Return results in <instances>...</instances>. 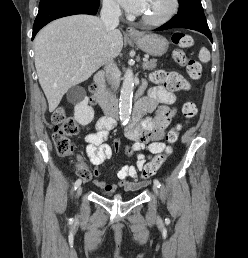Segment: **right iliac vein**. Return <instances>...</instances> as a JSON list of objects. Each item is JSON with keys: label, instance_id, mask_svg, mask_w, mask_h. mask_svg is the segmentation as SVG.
<instances>
[{"label": "right iliac vein", "instance_id": "63e3f726", "mask_svg": "<svg viewBox=\"0 0 248 258\" xmlns=\"http://www.w3.org/2000/svg\"><path fill=\"white\" fill-rule=\"evenodd\" d=\"M82 194V187L81 186H78L77 187V191H76V196L77 198Z\"/></svg>", "mask_w": 248, "mask_h": 258}]
</instances>
